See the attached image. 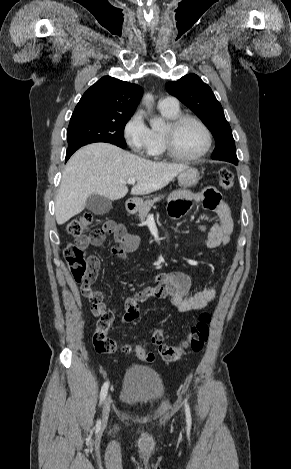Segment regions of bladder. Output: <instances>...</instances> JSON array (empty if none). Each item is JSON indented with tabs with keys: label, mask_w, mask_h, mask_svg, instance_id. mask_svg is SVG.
I'll use <instances>...</instances> for the list:
<instances>
[{
	"label": "bladder",
	"mask_w": 291,
	"mask_h": 469,
	"mask_svg": "<svg viewBox=\"0 0 291 469\" xmlns=\"http://www.w3.org/2000/svg\"><path fill=\"white\" fill-rule=\"evenodd\" d=\"M164 396V383L156 371L143 366H133L126 371L120 396L126 406L157 404Z\"/></svg>",
	"instance_id": "bladder-1"
}]
</instances>
